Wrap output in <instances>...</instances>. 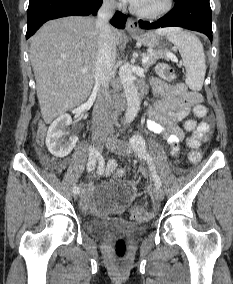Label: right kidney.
Instances as JSON below:
<instances>
[{"label": "right kidney", "instance_id": "1", "mask_svg": "<svg viewBox=\"0 0 233 284\" xmlns=\"http://www.w3.org/2000/svg\"><path fill=\"white\" fill-rule=\"evenodd\" d=\"M71 123V116L63 114L50 125L47 132L46 145L52 155L63 158L75 147L78 140L76 136L69 137V139L64 138L66 129Z\"/></svg>", "mask_w": 233, "mask_h": 284}]
</instances>
